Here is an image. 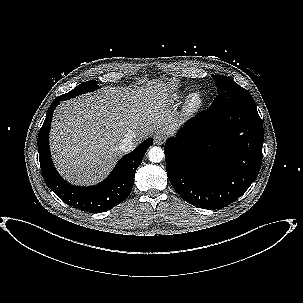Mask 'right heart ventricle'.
Here are the masks:
<instances>
[{
    "mask_svg": "<svg viewBox=\"0 0 303 303\" xmlns=\"http://www.w3.org/2000/svg\"><path fill=\"white\" fill-rule=\"evenodd\" d=\"M184 95H185V91L175 92V93L171 94L170 100L171 101H179L184 97Z\"/></svg>",
    "mask_w": 303,
    "mask_h": 303,
    "instance_id": "obj_1",
    "label": "right heart ventricle"
}]
</instances>
